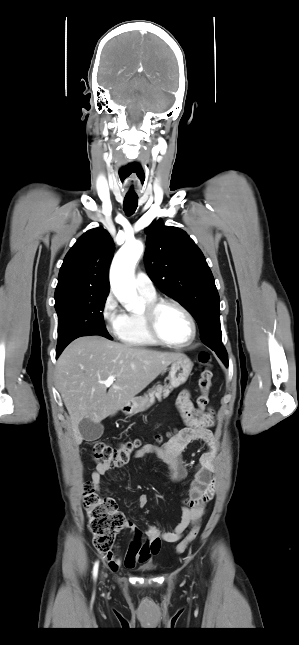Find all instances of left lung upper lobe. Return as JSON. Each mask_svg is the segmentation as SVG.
<instances>
[{"mask_svg":"<svg viewBox=\"0 0 299 645\" xmlns=\"http://www.w3.org/2000/svg\"><path fill=\"white\" fill-rule=\"evenodd\" d=\"M146 234L145 264L150 279L193 315L204 344L228 362L222 344L219 294L202 252L185 231L164 226L160 219L146 228Z\"/></svg>","mask_w":299,"mask_h":645,"instance_id":"1","label":"left lung upper lobe"}]
</instances>
